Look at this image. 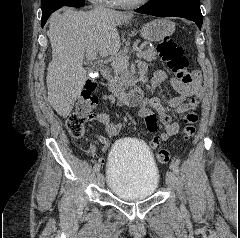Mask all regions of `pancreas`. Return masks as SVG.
I'll list each match as a JSON object with an SVG mask.
<instances>
[{
    "label": "pancreas",
    "mask_w": 240,
    "mask_h": 238,
    "mask_svg": "<svg viewBox=\"0 0 240 238\" xmlns=\"http://www.w3.org/2000/svg\"><path fill=\"white\" fill-rule=\"evenodd\" d=\"M128 49L125 48L123 51L119 52L114 61L111 64L112 74L105 75V78L108 80L110 86H121L123 88H127L129 84L130 72L128 70V62L118 63L117 59H123L126 56ZM141 52V58L144 60L151 62L156 60V52L154 48H147Z\"/></svg>",
    "instance_id": "cf45deb5"
}]
</instances>
